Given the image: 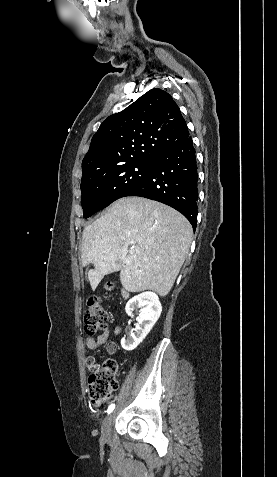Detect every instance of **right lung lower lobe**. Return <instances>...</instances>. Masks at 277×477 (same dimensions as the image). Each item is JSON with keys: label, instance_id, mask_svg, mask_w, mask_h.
<instances>
[{"label": "right lung lower lobe", "instance_id": "98d812e1", "mask_svg": "<svg viewBox=\"0 0 277 477\" xmlns=\"http://www.w3.org/2000/svg\"><path fill=\"white\" fill-rule=\"evenodd\" d=\"M145 178L125 196H140L171 206L182 213L196 229L197 221V160L189 136L175 148L153 161Z\"/></svg>", "mask_w": 277, "mask_h": 477}]
</instances>
